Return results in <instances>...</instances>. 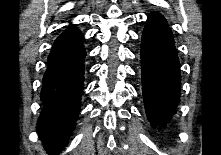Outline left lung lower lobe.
Returning a JSON list of instances; mask_svg holds the SVG:
<instances>
[{
    "mask_svg": "<svg viewBox=\"0 0 221 155\" xmlns=\"http://www.w3.org/2000/svg\"><path fill=\"white\" fill-rule=\"evenodd\" d=\"M141 71L147 117L162 128L180 101V68L171 30L155 11L149 15L142 35Z\"/></svg>",
    "mask_w": 221,
    "mask_h": 155,
    "instance_id": "left-lung-lower-lobe-1",
    "label": "left lung lower lobe"
}]
</instances>
